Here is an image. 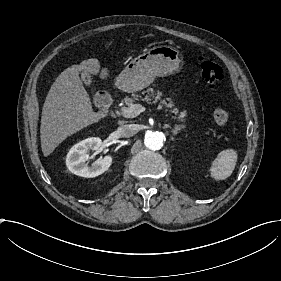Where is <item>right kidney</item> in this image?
<instances>
[{
  "mask_svg": "<svg viewBox=\"0 0 281 281\" xmlns=\"http://www.w3.org/2000/svg\"><path fill=\"white\" fill-rule=\"evenodd\" d=\"M101 144L102 141L99 137H89L72 146L65 159L68 170L73 174L87 178L98 176L106 171L111 164L110 157L100 158L88 166L89 157L87 154L83 155L89 150L98 149Z\"/></svg>",
  "mask_w": 281,
  "mask_h": 281,
  "instance_id": "1",
  "label": "right kidney"
}]
</instances>
